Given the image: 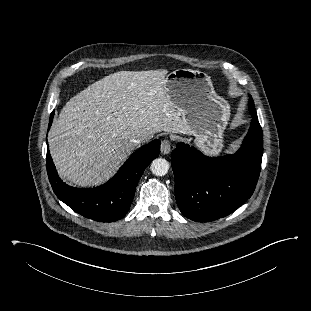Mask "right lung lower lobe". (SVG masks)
<instances>
[{"label":"right lung lower lobe","instance_id":"98d812e1","mask_svg":"<svg viewBox=\"0 0 311 311\" xmlns=\"http://www.w3.org/2000/svg\"><path fill=\"white\" fill-rule=\"evenodd\" d=\"M53 115L54 111L50 115L48 129ZM159 153L160 140L156 139L134 152L107 183L91 189L74 188L63 183L49 150L46 156L47 173L56 196L75 212L95 221L113 222L128 212L140 177Z\"/></svg>","mask_w":311,"mask_h":311}]
</instances>
